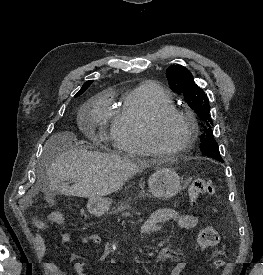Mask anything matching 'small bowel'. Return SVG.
<instances>
[{"label": "small bowel", "mask_w": 263, "mask_h": 275, "mask_svg": "<svg viewBox=\"0 0 263 275\" xmlns=\"http://www.w3.org/2000/svg\"><path fill=\"white\" fill-rule=\"evenodd\" d=\"M169 221L175 222L180 229L186 230L195 228L199 222L198 217L193 214L182 213L171 208L158 209L154 211L150 215V217L141 225L139 230L140 237L142 239L146 238L153 232H156L159 229H161L162 226ZM34 224L38 229L41 230H45L48 227L47 223L41 220H36ZM61 240L64 244L69 245L72 242V237L69 233H63L61 236ZM87 241L96 246H100L102 244L101 237L95 233L88 235ZM35 242L38 257L42 260L46 252L45 241L42 236L36 235ZM114 249L115 246L112 244L105 245L101 260L107 259L112 254ZM160 256L162 258L173 259L176 262V265L172 269L170 275H181L183 273L186 264L178 254L168 249H164L160 252ZM72 262L76 275H89L86 272L85 262L78 260L74 256L72 257ZM43 267L49 275H67L66 272L60 266L53 262H43Z\"/></svg>", "instance_id": "obj_1"}]
</instances>
